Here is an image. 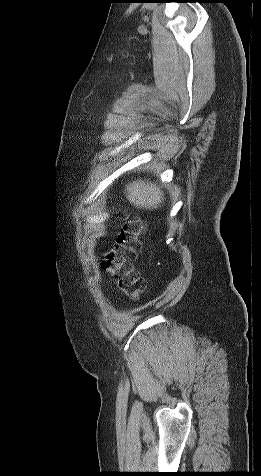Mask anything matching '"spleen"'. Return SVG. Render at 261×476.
<instances>
[{"instance_id": "spleen-1", "label": "spleen", "mask_w": 261, "mask_h": 476, "mask_svg": "<svg viewBox=\"0 0 261 476\" xmlns=\"http://www.w3.org/2000/svg\"><path fill=\"white\" fill-rule=\"evenodd\" d=\"M125 192L128 201L138 208L153 210L163 202V193L151 182L133 181L126 185Z\"/></svg>"}]
</instances>
